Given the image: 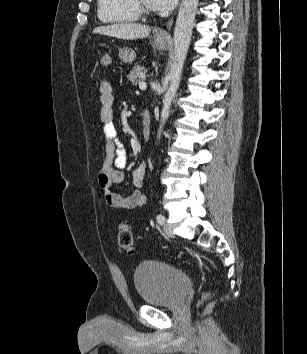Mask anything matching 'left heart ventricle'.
Returning a JSON list of instances; mask_svg holds the SVG:
<instances>
[{
	"label": "left heart ventricle",
	"mask_w": 307,
	"mask_h": 354,
	"mask_svg": "<svg viewBox=\"0 0 307 354\" xmlns=\"http://www.w3.org/2000/svg\"><path fill=\"white\" fill-rule=\"evenodd\" d=\"M144 4L150 7L149 0H143Z\"/></svg>",
	"instance_id": "1"
}]
</instances>
